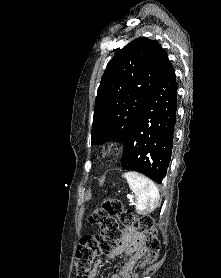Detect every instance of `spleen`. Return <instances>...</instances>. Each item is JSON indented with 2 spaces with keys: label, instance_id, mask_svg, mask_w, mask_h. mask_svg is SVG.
Returning <instances> with one entry per match:
<instances>
[{
  "label": "spleen",
  "instance_id": "obj_1",
  "mask_svg": "<svg viewBox=\"0 0 221 278\" xmlns=\"http://www.w3.org/2000/svg\"><path fill=\"white\" fill-rule=\"evenodd\" d=\"M123 177L135 193L137 213L147 214L154 211L160 199L157 186L150 179L136 172H126Z\"/></svg>",
  "mask_w": 221,
  "mask_h": 278
}]
</instances>
